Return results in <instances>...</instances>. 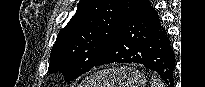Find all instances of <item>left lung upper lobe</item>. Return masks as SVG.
<instances>
[{
	"label": "left lung upper lobe",
	"mask_w": 205,
	"mask_h": 87,
	"mask_svg": "<svg viewBox=\"0 0 205 87\" xmlns=\"http://www.w3.org/2000/svg\"><path fill=\"white\" fill-rule=\"evenodd\" d=\"M137 0H80L51 50L49 72L72 81L96 66Z\"/></svg>",
	"instance_id": "5c2ea615"
}]
</instances>
